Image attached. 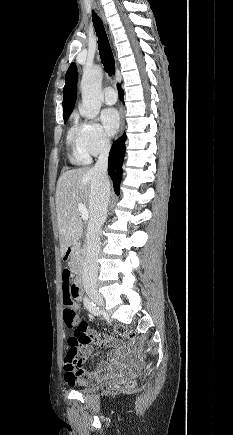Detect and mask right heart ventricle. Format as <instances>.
Masks as SVG:
<instances>
[{
  "label": "right heart ventricle",
  "mask_w": 233,
  "mask_h": 435,
  "mask_svg": "<svg viewBox=\"0 0 233 435\" xmlns=\"http://www.w3.org/2000/svg\"><path fill=\"white\" fill-rule=\"evenodd\" d=\"M67 142L71 149L70 160L77 165H87L90 155L85 149L84 124L74 119L67 134Z\"/></svg>",
  "instance_id": "1"
}]
</instances>
